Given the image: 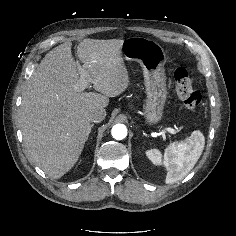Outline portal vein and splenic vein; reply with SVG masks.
Here are the masks:
<instances>
[{
	"label": "portal vein and splenic vein",
	"mask_w": 236,
	"mask_h": 236,
	"mask_svg": "<svg viewBox=\"0 0 236 236\" xmlns=\"http://www.w3.org/2000/svg\"><path fill=\"white\" fill-rule=\"evenodd\" d=\"M78 70L80 71V72H83L84 71V66H78ZM163 131H167V132H169V133H171V134H173V135H177V132H176V130H174L173 128H169V127H166V128H163Z\"/></svg>",
	"instance_id": "18ae733b"
}]
</instances>
